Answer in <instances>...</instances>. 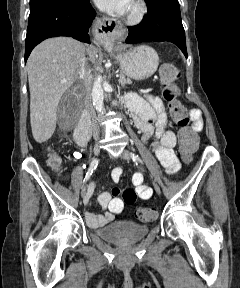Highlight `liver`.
Wrapping results in <instances>:
<instances>
[{
  "instance_id": "obj_1",
  "label": "liver",
  "mask_w": 240,
  "mask_h": 288,
  "mask_svg": "<svg viewBox=\"0 0 240 288\" xmlns=\"http://www.w3.org/2000/svg\"><path fill=\"white\" fill-rule=\"evenodd\" d=\"M85 50L91 61L98 57V49L93 46L86 48L75 39L55 37L37 45L28 58L30 121L36 142L43 143L53 135L58 103L78 79Z\"/></svg>"
}]
</instances>
